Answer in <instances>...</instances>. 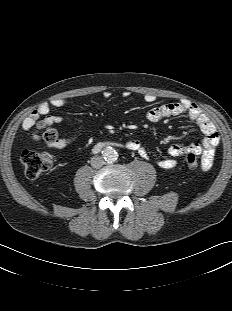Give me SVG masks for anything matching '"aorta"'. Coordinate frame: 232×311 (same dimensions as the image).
Here are the masks:
<instances>
[{
    "label": "aorta",
    "mask_w": 232,
    "mask_h": 311,
    "mask_svg": "<svg viewBox=\"0 0 232 311\" xmlns=\"http://www.w3.org/2000/svg\"><path fill=\"white\" fill-rule=\"evenodd\" d=\"M102 156L107 163L115 162L118 158V153L113 147H106L102 150Z\"/></svg>",
    "instance_id": "aorta-1"
}]
</instances>
